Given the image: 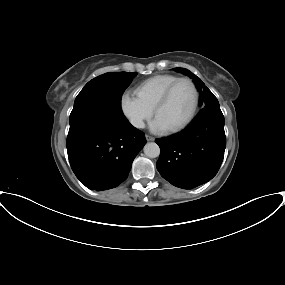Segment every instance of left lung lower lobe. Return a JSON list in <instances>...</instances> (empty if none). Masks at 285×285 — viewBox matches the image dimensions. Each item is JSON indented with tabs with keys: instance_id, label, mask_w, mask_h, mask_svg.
Masks as SVG:
<instances>
[{
	"instance_id": "1",
	"label": "left lung lower lobe",
	"mask_w": 285,
	"mask_h": 285,
	"mask_svg": "<svg viewBox=\"0 0 285 285\" xmlns=\"http://www.w3.org/2000/svg\"><path fill=\"white\" fill-rule=\"evenodd\" d=\"M157 169L172 185L191 189L211 180L224 158L226 137L222 112L197 116L182 132L156 139Z\"/></svg>"
}]
</instances>
